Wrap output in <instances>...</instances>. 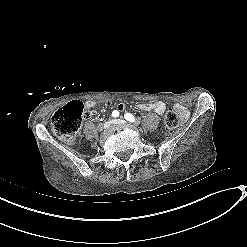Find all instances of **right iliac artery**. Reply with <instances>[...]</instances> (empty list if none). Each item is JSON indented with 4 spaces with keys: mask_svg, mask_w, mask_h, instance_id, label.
Instances as JSON below:
<instances>
[{
    "mask_svg": "<svg viewBox=\"0 0 247 247\" xmlns=\"http://www.w3.org/2000/svg\"><path fill=\"white\" fill-rule=\"evenodd\" d=\"M118 116H119V112L116 111V110H114V111L112 112V117L116 118V117H118Z\"/></svg>",
    "mask_w": 247,
    "mask_h": 247,
    "instance_id": "obj_1",
    "label": "right iliac artery"
}]
</instances>
